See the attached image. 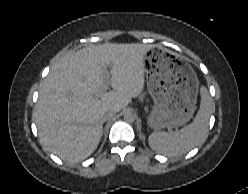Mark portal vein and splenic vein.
I'll use <instances>...</instances> for the list:
<instances>
[{
    "mask_svg": "<svg viewBox=\"0 0 248 194\" xmlns=\"http://www.w3.org/2000/svg\"><path fill=\"white\" fill-rule=\"evenodd\" d=\"M104 74H105V77L107 78V80L105 81V83L103 84V86L98 90V92L96 93V97H100L102 96V94L108 90L109 88V80H108V77H109V73L107 71V69L104 70Z\"/></svg>",
    "mask_w": 248,
    "mask_h": 194,
    "instance_id": "18ae733b",
    "label": "portal vein and splenic vein"
}]
</instances>
